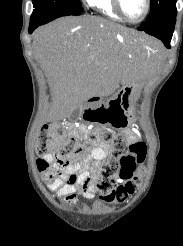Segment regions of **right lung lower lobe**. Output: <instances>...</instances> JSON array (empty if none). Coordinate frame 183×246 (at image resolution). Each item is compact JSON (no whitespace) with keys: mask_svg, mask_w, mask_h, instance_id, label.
I'll use <instances>...</instances> for the list:
<instances>
[{"mask_svg":"<svg viewBox=\"0 0 183 246\" xmlns=\"http://www.w3.org/2000/svg\"><path fill=\"white\" fill-rule=\"evenodd\" d=\"M72 15H81V13H75ZM45 22L40 21V22H30V26L28 29V32L31 34L38 26L43 25Z\"/></svg>","mask_w":183,"mask_h":246,"instance_id":"1","label":"right lung lower lobe"}]
</instances>
